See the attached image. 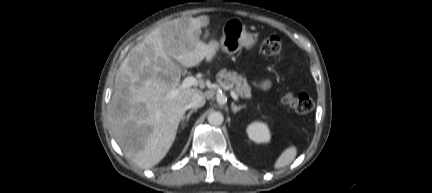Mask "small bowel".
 <instances>
[{"mask_svg": "<svg viewBox=\"0 0 432 193\" xmlns=\"http://www.w3.org/2000/svg\"><path fill=\"white\" fill-rule=\"evenodd\" d=\"M259 87L262 89V90H268L270 87H271V82L270 81H262L260 84H259Z\"/></svg>", "mask_w": 432, "mask_h": 193, "instance_id": "obj_1", "label": "small bowel"}]
</instances>
